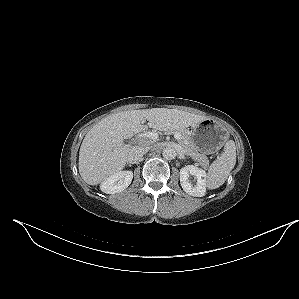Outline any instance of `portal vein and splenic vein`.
Segmentation results:
<instances>
[{
	"label": "portal vein and splenic vein",
	"mask_w": 299,
	"mask_h": 299,
	"mask_svg": "<svg viewBox=\"0 0 299 299\" xmlns=\"http://www.w3.org/2000/svg\"><path fill=\"white\" fill-rule=\"evenodd\" d=\"M141 137H147V138L155 141L158 138V133L149 131V132H145V133L141 134ZM174 138L179 140L181 138V135L179 133H175Z\"/></svg>",
	"instance_id": "obj_1"
}]
</instances>
